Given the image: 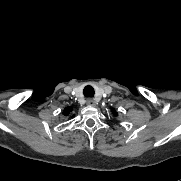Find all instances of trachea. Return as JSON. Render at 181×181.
<instances>
[{"mask_svg": "<svg viewBox=\"0 0 181 181\" xmlns=\"http://www.w3.org/2000/svg\"><path fill=\"white\" fill-rule=\"evenodd\" d=\"M83 93L85 97H93L95 92L92 86H86Z\"/></svg>", "mask_w": 181, "mask_h": 181, "instance_id": "trachea-1", "label": "trachea"}]
</instances>
